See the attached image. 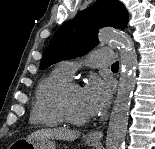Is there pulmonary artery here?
<instances>
[{"label": "pulmonary artery", "instance_id": "1", "mask_svg": "<svg viewBox=\"0 0 155 149\" xmlns=\"http://www.w3.org/2000/svg\"><path fill=\"white\" fill-rule=\"evenodd\" d=\"M85 63L93 66H108L114 63V53L111 49L101 48L93 50L85 59ZM61 70L68 76L72 77L74 72L79 67V62L73 60H66L59 64Z\"/></svg>", "mask_w": 155, "mask_h": 149}]
</instances>
